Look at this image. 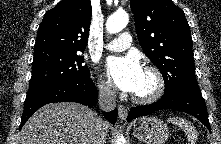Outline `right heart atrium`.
<instances>
[{"mask_svg": "<svg viewBox=\"0 0 221 144\" xmlns=\"http://www.w3.org/2000/svg\"><path fill=\"white\" fill-rule=\"evenodd\" d=\"M99 92L105 97H111L114 94V87L108 80L100 79L98 81Z\"/></svg>", "mask_w": 221, "mask_h": 144, "instance_id": "d8ad5b80", "label": "right heart atrium"}]
</instances>
